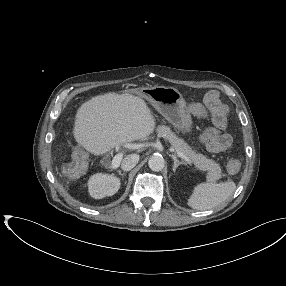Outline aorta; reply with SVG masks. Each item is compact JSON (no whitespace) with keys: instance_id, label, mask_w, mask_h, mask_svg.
Instances as JSON below:
<instances>
[{"instance_id":"obj_1","label":"aorta","mask_w":286,"mask_h":286,"mask_svg":"<svg viewBox=\"0 0 286 286\" xmlns=\"http://www.w3.org/2000/svg\"><path fill=\"white\" fill-rule=\"evenodd\" d=\"M149 168L152 171L159 172L165 167V160L161 155H153L148 161Z\"/></svg>"}]
</instances>
